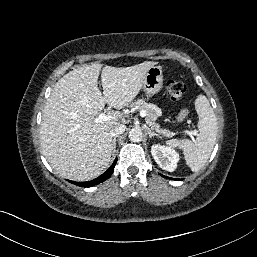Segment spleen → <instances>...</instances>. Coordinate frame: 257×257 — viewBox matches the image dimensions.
Instances as JSON below:
<instances>
[{"label": "spleen", "instance_id": "spleen-1", "mask_svg": "<svg viewBox=\"0 0 257 257\" xmlns=\"http://www.w3.org/2000/svg\"><path fill=\"white\" fill-rule=\"evenodd\" d=\"M199 117L196 141L171 139L166 144L183 150L187 165L193 172L199 171L207 162L215 145L217 118L206 96L199 95L195 101Z\"/></svg>", "mask_w": 257, "mask_h": 257}]
</instances>
